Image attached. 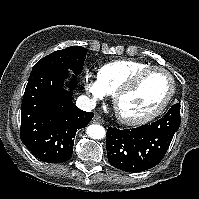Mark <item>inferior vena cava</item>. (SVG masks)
I'll use <instances>...</instances> for the list:
<instances>
[{
    "instance_id": "1",
    "label": "inferior vena cava",
    "mask_w": 199,
    "mask_h": 199,
    "mask_svg": "<svg viewBox=\"0 0 199 199\" xmlns=\"http://www.w3.org/2000/svg\"><path fill=\"white\" fill-rule=\"evenodd\" d=\"M76 106L83 111H91L96 107V100L87 96H80L76 101Z\"/></svg>"
}]
</instances>
